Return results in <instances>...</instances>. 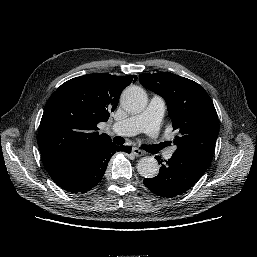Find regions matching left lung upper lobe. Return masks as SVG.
Returning <instances> with one entry per match:
<instances>
[{"instance_id":"1","label":"left lung upper lobe","mask_w":257,"mask_h":257,"mask_svg":"<svg viewBox=\"0 0 257 257\" xmlns=\"http://www.w3.org/2000/svg\"><path fill=\"white\" fill-rule=\"evenodd\" d=\"M139 81L166 100L173 128L180 133L174 140L176 151L210 166L219 121L213 102L204 88L169 72L141 74Z\"/></svg>"}]
</instances>
